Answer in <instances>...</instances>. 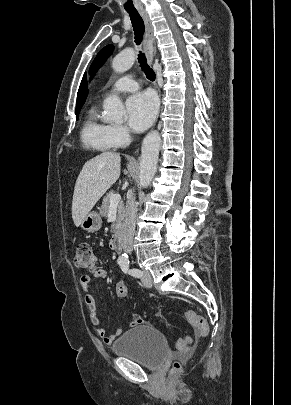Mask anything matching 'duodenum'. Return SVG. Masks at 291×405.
<instances>
[{"label":"duodenum","instance_id":"410a0bca","mask_svg":"<svg viewBox=\"0 0 291 405\" xmlns=\"http://www.w3.org/2000/svg\"><path fill=\"white\" fill-rule=\"evenodd\" d=\"M110 247L112 250L119 252L122 248V233L117 231L110 240Z\"/></svg>","mask_w":291,"mask_h":405}]
</instances>
